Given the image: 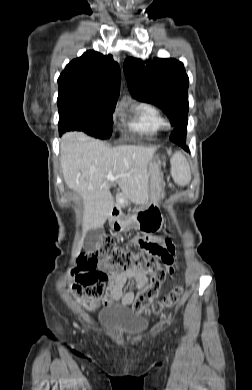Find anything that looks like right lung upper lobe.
<instances>
[{"label": "right lung upper lobe", "mask_w": 252, "mask_h": 390, "mask_svg": "<svg viewBox=\"0 0 252 390\" xmlns=\"http://www.w3.org/2000/svg\"><path fill=\"white\" fill-rule=\"evenodd\" d=\"M120 68L111 55L87 51L71 61L58 78V107L105 105L115 107L120 87Z\"/></svg>", "instance_id": "cb5924a9"}]
</instances>
